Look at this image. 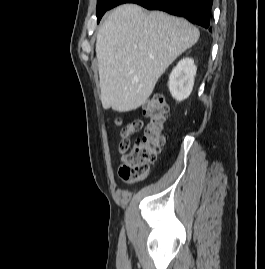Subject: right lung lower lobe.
<instances>
[{"instance_id":"right-lung-lower-lobe-1","label":"right lung lower lobe","mask_w":265,"mask_h":269,"mask_svg":"<svg viewBox=\"0 0 265 269\" xmlns=\"http://www.w3.org/2000/svg\"><path fill=\"white\" fill-rule=\"evenodd\" d=\"M213 0H114L109 9L123 3H136L149 10H162L185 17L211 31L210 18Z\"/></svg>"}]
</instances>
